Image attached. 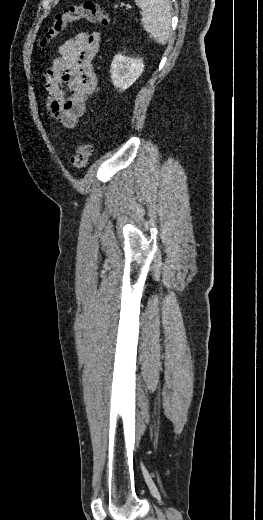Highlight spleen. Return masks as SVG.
Masks as SVG:
<instances>
[{
	"mask_svg": "<svg viewBox=\"0 0 263 520\" xmlns=\"http://www.w3.org/2000/svg\"><path fill=\"white\" fill-rule=\"evenodd\" d=\"M143 11L141 19L144 29L159 44H166L171 33L170 0H134Z\"/></svg>",
	"mask_w": 263,
	"mask_h": 520,
	"instance_id": "obj_1",
	"label": "spleen"
}]
</instances>
